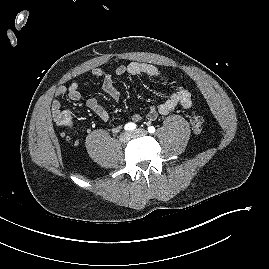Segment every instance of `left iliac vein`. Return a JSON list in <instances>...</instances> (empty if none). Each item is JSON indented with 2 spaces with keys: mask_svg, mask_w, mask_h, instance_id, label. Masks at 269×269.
<instances>
[{
  "mask_svg": "<svg viewBox=\"0 0 269 269\" xmlns=\"http://www.w3.org/2000/svg\"><path fill=\"white\" fill-rule=\"evenodd\" d=\"M132 137H140V136H146L147 131L144 129H137L133 132H131Z\"/></svg>",
  "mask_w": 269,
  "mask_h": 269,
  "instance_id": "left-iliac-vein-1",
  "label": "left iliac vein"
}]
</instances>
